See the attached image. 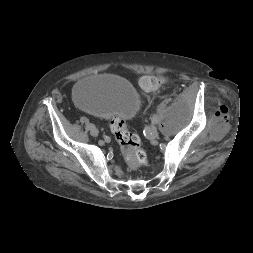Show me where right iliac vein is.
<instances>
[{
	"mask_svg": "<svg viewBox=\"0 0 253 253\" xmlns=\"http://www.w3.org/2000/svg\"><path fill=\"white\" fill-rule=\"evenodd\" d=\"M90 133L92 136H97L98 135V129L96 127H93L91 130H90Z\"/></svg>",
	"mask_w": 253,
	"mask_h": 253,
	"instance_id": "1",
	"label": "right iliac vein"
}]
</instances>
